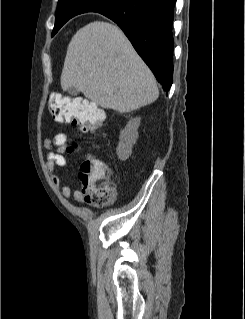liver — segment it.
<instances>
[{
  "label": "liver",
  "mask_w": 245,
  "mask_h": 319,
  "mask_svg": "<svg viewBox=\"0 0 245 319\" xmlns=\"http://www.w3.org/2000/svg\"><path fill=\"white\" fill-rule=\"evenodd\" d=\"M64 91L74 87L105 109L128 113L159 96L155 77L124 33L94 21L72 37L61 74Z\"/></svg>",
  "instance_id": "obj_1"
}]
</instances>
